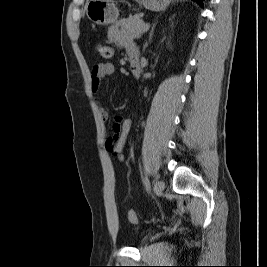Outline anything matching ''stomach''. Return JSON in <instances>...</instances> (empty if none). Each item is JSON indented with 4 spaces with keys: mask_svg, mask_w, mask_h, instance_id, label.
<instances>
[{
    "mask_svg": "<svg viewBox=\"0 0 267 267\" xmlns=\"http://www.w3.org/2000/svg\"><path fill=\"white\" fill-rule=\"evenodd\" d=\"M140 2L151 11H158L163 7L162 0H140ZM85 10L88 19L101 26L115 23L119 16L118 8L113 0H89Z\"/></svg>",
    "mask_w": 267,
    "mask_h": 267,
    "instance_id": "stomach-1",
    "label": "stomach"
}]
</instances>
